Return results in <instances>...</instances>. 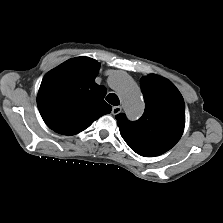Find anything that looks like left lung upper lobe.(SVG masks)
Here are the masks:
<instances>
[{
	"label": "left lung upper lobe",
	"mask_w": 223,
	"mask_h": 223,
	"mask_svg": "<svg viewBox=\"0 0 223 223\" xmlns=\"http://www.w3.org/2000/svg\"><path fill=\"white\" fill-rule=\"evenodd\" d=\"M140 87L145 111L131 122L116 115L120 134L129 147L145 157L158 156L171 149L180 139L185 126V104L177 88L157 75L143 77Z\"/></svg>",
	"instance_id": "1"
}]
</instances>
